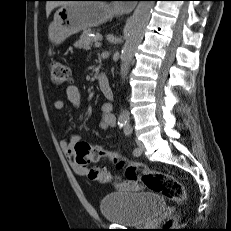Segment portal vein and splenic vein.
<instances>
[{"mask_svg": "<svg viewBox=\"0 0 231 231\" xmlns=\"http://www.w3.org/2000/svg\"><path fill=\"white\" fill-rule=\"evenodd\" d=\"M101 45H102V43H101L100 41H97V42H95V44H94V46H95L96 48L100 47Z\"/></svg>", "mask_w": 231, "mask_h": 231, "instance_id": "1", "label": "portal vein and splenic vein"}]
</instances>
